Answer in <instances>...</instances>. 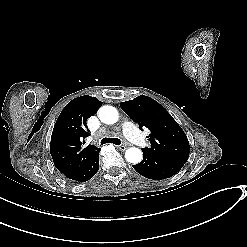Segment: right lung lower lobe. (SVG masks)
I'll return each instance as SVG.
<instances>
[{"label":"right lung lower lobe","instance_id":"98d812e1","mask_svg":"<svg viewBox=\"0 0 247 247\" xmlns=\"http://www.w3.org/2000/svg\"><path fill=\"white\" fill-rule=\"evenodd\" d=\"M99 152L100 149L91 155L86 162L75 171L65 176L78 182H85L91 179L99 170Z\"/></svg>","mask_w":247,"mask_h":247}]
</instances>
